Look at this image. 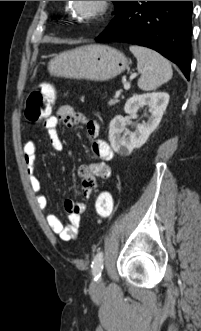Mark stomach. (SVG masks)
I'll use <instances>...</instances> for the list:
<instances>
[{
	"label": "stomach",
	"mask_w": 201,
	"mask_h": 331,
	"mask_svg": "<svg viewBox=\"0 0 201 331\" xmlns=\"http://www.w3.org/2000/svg\"><path fill=\"white\" fill-rule=\"evenodd\" d=\"M126 68V56L102 44H89L62 52L48 64V70L54 76L94 81L110 80Z\"/></svg>",
	"instance_id": "stomach-1"
}]
</instances>
